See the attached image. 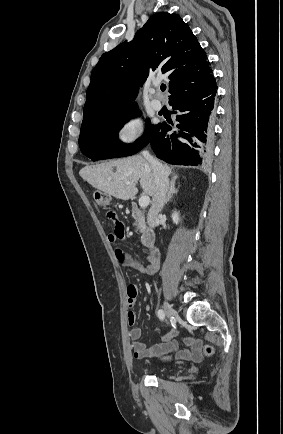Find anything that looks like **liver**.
<instances>
[{
  "label": "liver",
  "instance_id": "liver-1",
  "mask_svg": "<svg viewBox=\"0 0 283 434\" xmlns=\"http://www.w3.org/2000/svg\"><path fill=\"white\" fill-rule=\"evenodd\" d=\"M163 167L167 175L172 173L168 165ZM79 175L94 188L120 200H128L137 194L138 181L144 194L153 196L155 192L150 163L141 155L87 165L79 171Z\"/></svg>",
  "mask_w": 283,
  "mask_h": 434
}]
</instances>
